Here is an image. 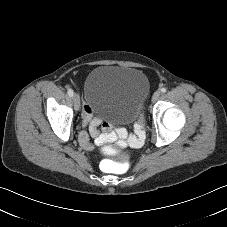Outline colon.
<instances>
[{"label":"colon","mask_w":227,"mask_h":227,"mask_svg":"<svg viewBox=\"0 0 227 227\" xmlns=\"http://www.w3.org/2000/svg\"><path fill=\"white\" fill-rule=\"evenodd\" d=\"M114 147L113 144H106L103 148H112ZM113 158L116 159L118 163V169L121 173H125L128 170V160L124 157V152L121 150L116 151L113 155Z\"/></svg>","instance_id":"1"}]
</instances>
